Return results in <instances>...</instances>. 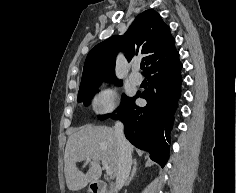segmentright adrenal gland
<instances>
[{
  "mask_svg": "<svg viewBox=\"0 0 237 193\" xmlns=\"http://www.w3.org/2000/svg\"><path fill=\"white\" fill-rule=\"evenodd\" d=\"M136 173H137V159H134L132 172H131L130 177L126 181L125 186H128L130 184L131 180L133 179V177L135 176Z\"/></svg>",
  "mask_w": 237,
  "mask_h": 193,
  "instance_id": "right-adrenal-gland-1",
  "label": "right adrenal gland"
}]
</instances>
